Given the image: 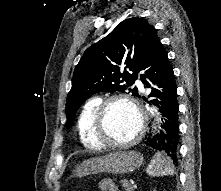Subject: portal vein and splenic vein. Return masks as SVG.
I'll use <instances>...</instances> for the list:
<instances>
[{
    "label": "portal vein and splenic vein",
    "mask_w": 221,
    "mask_h": 191,
    "mask_svg": "<svg viewBox=\"0 0 221 191\" xmlns=\"http://www.w3.org/2000/svg\"><path fill=\"white\" fill-rule=\"evenodd\" d=\"M131 184L133 185V187H134V188H136V187H137V185L135 184V182H134V181H131Z\"/></svg>",
    "instance_id": "1"
}]
</instances>
